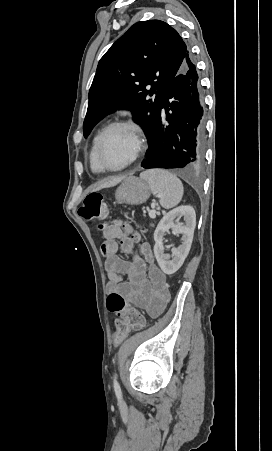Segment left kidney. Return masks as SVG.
Masks as SVG:
<instances>
[{"label": "left kidney", "mask_w": 272, "mask_h": 451, "mask_svg": "<svg viewBox=\"0 0 272 451\" xmlns=\"http://www.w3.org/2000/svg\"><path fill=\"white\" fill-rule=\"evenodd\" d=\"M184 216L185 226L183 224H174L176 220ZM196 226V214L192 206H179L174 208L168 214L163 216L158 226L154 231V255L164 273H175L179 267H181L185 257H187L191 243L193 241L194 229ZM172 229L174 235L183 233L181 239L182 243L179 247H172V255L170 253H164L163 235H166L165 231ZM172 257V259H170Z\"/></svg>", "instance_id": "left-kidney-1"}]
</instances>
